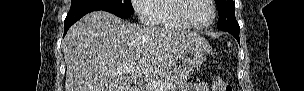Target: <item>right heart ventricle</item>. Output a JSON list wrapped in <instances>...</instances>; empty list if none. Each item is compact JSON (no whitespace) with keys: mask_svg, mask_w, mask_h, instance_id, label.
<instances>
[{"mask_svg":"<svg viewBox=\"0 0 304 91\" xmlns=\"http://www.w3.org/2000/svg\"><path fill=\"white\" fill-rule=\"evenodd\" d=\"M179 0H154L149 6L151 26L174 30H186L190 27L177 14Z\"/></svg>","mask_w":304,"mask_h":91,"instance_id":"obj_1","label":"right heart ventricle"}]
</instances>
